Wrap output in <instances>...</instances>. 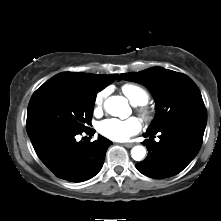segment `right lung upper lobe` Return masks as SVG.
Masks as SVG:
<instances>
[{
  "label": "right lung upper lobe",
  "instance_id": "1",
  "mask_svg": "<svg viewBox=\"0 0 221 221\" xmlns=\"http://www.w3.org/2000/svg\"><path fill=\"white\" fill-rule=\"evenodd\" d=\"M118 74L98 75L79 72H62L55 75L54 79H64L80 84L90 90L101 91L117 78Z\"/></svg>",
  "mask_w": 221,
  "mask_h": 221
}]
</instances>
